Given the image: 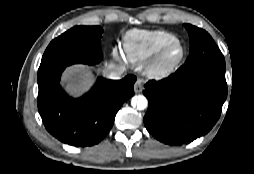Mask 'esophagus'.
I'll use <instances>...</instances> for the list:
<instances>
[{
	"instance_id": "34e87169",
	"label": "esophagus",
	"mask_w": 254,
	"mask_h": 174,
	"mask_svg": "<svg viewBox=\"0 0 254 174\" xmlns=\"http://www.w3.org/2000/svg\"><path fill=\"white\" fill-rule=\"evenodd\" d=\"M143 90V81L138 79L134 84V91L135 93H140Z\"/></svg>"
}]
</instances>
